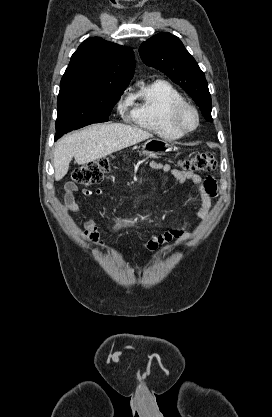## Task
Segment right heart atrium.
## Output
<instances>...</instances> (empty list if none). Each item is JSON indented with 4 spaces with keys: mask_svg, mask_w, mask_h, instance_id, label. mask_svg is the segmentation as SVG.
Masks as SVG:
<instances>
[{
    "mask_svg": "<svg viewBox=\"0 0 272 417\" xmlns=\"http://www.w3.org/2000/svg\"><path fill=\"white\" fill-rule=\"evenodd\" d=\"M127 106H128V102H127V101H120V102L118 103L117 108H118V110H119L120 112H122V111H124V110L127 108Z\"/></svg>",
    "mask_w": 272,
    "mask_h": 417,
    "instance_id": "1",
    "label": "right heart atrium"
}]
</instances>
